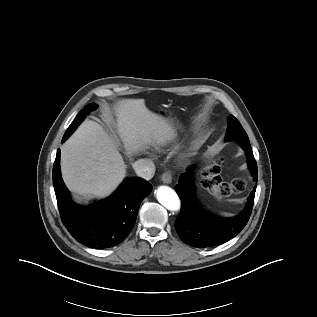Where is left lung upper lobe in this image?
Returning <instances> with one entry per match:
<instances>
[{
    "instance_id": "1",
    "label": "left lung upper lobe",
    "mask_w": 317,
    "mask_h": 317,
    "mask_svg": "<svg viewBox=\"0 0 317 317\" xmlns=\"http://www.w3.org/2000/svg\"><path fill=\"white\" fill-rule=\"evenodd\" d=\"M237 141L241 147L250 146L249 138L239 123V121L232 115L229 116L228 128L225 136V141Z\"/></svg>"
}]
</instances>
